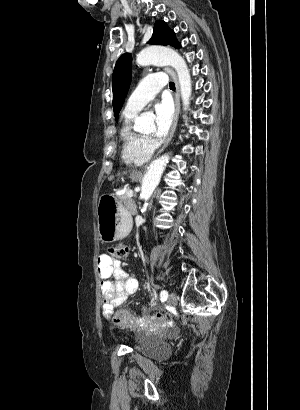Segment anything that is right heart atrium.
<instances>
[{
  "instance_id": "1",
  "label": "right heart atrium",
  "mask_w": 300,
  "mask_h": 410,
  "mask_svg": "<svg viewBox=\"0 0 300 410\" xmlns=\"http://www.w3.org/2000/svg\"><path fill=\"white\" fill-rule=\"evenodd\" d=\"M148 146L152 149L154 147V142L151 139H146Z\"/></svg>"
}]
</instances>
